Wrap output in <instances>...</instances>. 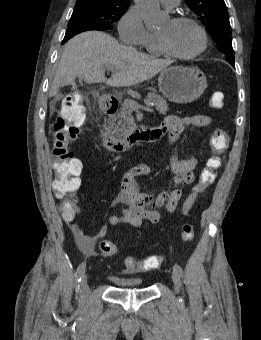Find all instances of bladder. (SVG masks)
Masks as SVG:
<instances>
[{
    "mask_svg": "<svg viewBox=\"0 0 261 340\" xmlns=\"http://www.w3.org/2000/svg\"><path fill=\"white\" fill-rule=\"evenodd\" d=\"M109 278L118 288H141L143 286L142 279L138 277L111 275Z\"/></svg>",
    "mask_w": 261,
    "mask_h": 340,
    "instance_id": "31cf9c89",
    "label": "bladder"
}]
</instances>
